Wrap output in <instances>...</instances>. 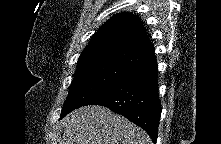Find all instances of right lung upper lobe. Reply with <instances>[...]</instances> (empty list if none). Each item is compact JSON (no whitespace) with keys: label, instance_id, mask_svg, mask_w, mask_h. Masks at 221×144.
<instances>
[{"label":"right lung upper lobe","instance_id":"cb5924a9","mask_svg":"<svg viewBox=\"0 0 221 144\" xmlns=\"http://www.w3.org/2000/svg\"><path fill=\"white\" fill-rule=\"evenodd\" d=\"M110 51L141 55L154 52L139 17L129 13L116 14L107 20L92 36L79 60L87 56Z\"/></svg>","mask_w":221,"mask_h":144}]
</instances>
